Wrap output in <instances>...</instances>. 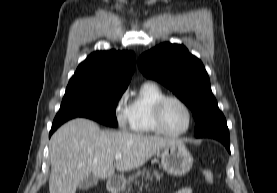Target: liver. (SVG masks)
<instances>
[{
    "instance_id": "6515ba94",
    "label": "liver",
    "mask_w": 277,
    "mask_h": 193,
    "mask_svg": "<svg viewBox=\"0 0 277 193\" xmlns=\"http://www.w3.org/2000/svg\"><path fill=\"white\" fill-rule=\"evenodd\" d=\"M182 141L125 131H102L88 119H73L61 126L50 140V193H76L89 176L107 179L117 171L145 164L161 149ZM121 154L120 160L114 159Z\"/></svg>"
}]
</instances>
